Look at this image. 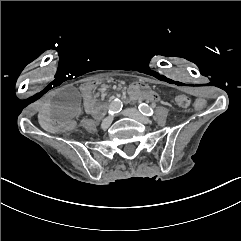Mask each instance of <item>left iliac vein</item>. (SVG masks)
Instances as JSON below:
<instances>
[{
	"label": "left iliac vein",
	"mask_w": 241,
	"mask_h": 241,
	"mask_svg": "<svg viewBox=\"0 0 241 241\" xmlns=\"http://www.w3.org/2000/svg\"><path fill=\"white\" fill-rule=\"evenodd\" d=\"M124 115L133 118L141 123L144 124H150L151 120L148 119L147 117H145L144 115H142L137 109L135 108H128L126 110H124Z\"/></svg>",
	"instance_id": "4c4485c4"
}]
</instances>
